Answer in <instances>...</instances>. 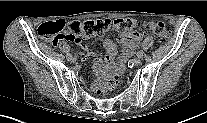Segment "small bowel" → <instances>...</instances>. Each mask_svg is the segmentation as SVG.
I'll list each match as a JSON object with an SVG mask.
<instances>
[{
	"mask_svg": "<svg viewBox=\"0 0 207 123\" xmlns=\"http://www.w3.org/2000/svg\"><path fill=\"white\" fill-rule=\"evenodd\" d=\"M111 30L116 31L119 35V42L123 45V51L121 56V61H126L130 56L133 55L134 51L138 47V44L142 38V34L137 31L133 32H124L120 31L116 27H112ZM88 55L97 56L98 54L93 51V49L84 43L82 39L74 40ZM104 48L106 50V55L103 57V60L111 63L117 54V46L114 41L111 39H105L103 42Z\"/></svg>",
	"mask_w": 207,
	"mask_h": 123,
	"instance_id": "obj_1",
	"label": "small bowel"
}]
</instances>
